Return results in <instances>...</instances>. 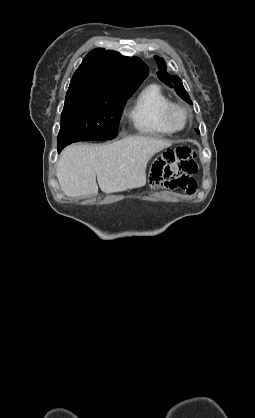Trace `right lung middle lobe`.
I'll use <instances>...</instances> for the list:
<instances>
[{
	"label": "right lung middle lobe",
	"mask_w": 255,
	"mask_h": 418,
	"mask_svg": "<svg viewBox=\"0 0 255 418\" xmlns=\"http://www.w3.org/2000/svg\"><path fill=\"white\" fill-rule=\"evenodd\" d=\"M134 92L68 89L61 114L58 144L115 138L123 106Z\"/></svg>",
	"instance_id": "right-lung-middle-lobe-1"
}]
</instances>
